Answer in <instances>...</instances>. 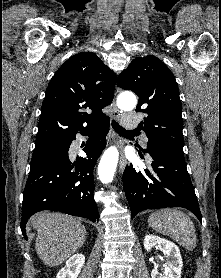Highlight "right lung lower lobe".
Segmentation results:
<instances>
[{"mask_svg": "<svg viewBox=\"0 0 221 278\" xmlns=\"http://www.w3.org/2000/svg\"><path fill=\"white\" fill-rule=\"evenodd\" d=\"M109 118L78 133L89 140L84 148L86 158L72 163L68 151L76 134L64 139L37 163L30 166L23 193L22 220L20 227L27 239L25 226L28 219L41 210L60 211L85 217L92 222L99 220L95 203L93 168L106 146ZM75 167V170L73 169Z\"/></svg>", "mask_w": 221, "mask_h": 278, "instance_id": "obj_1", "label": "right lung lower lobe"}]
</instances>
